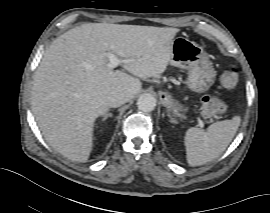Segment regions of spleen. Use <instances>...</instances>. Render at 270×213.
<instances>
[{"mask_svg":"<svg viewBox=\"0 0 270 213\" xmlns=\"http://www.w3.org/2000/svg\"><path fill=\"white\" fill-rule=\"evenodd\" d=\"M240 121L239 116H234L231 120L213 123L207 131L188 129L184 137L188 164L199 166L220 156L235 136Z\"/></svg>","mask_w":270,"mask_h":213,"instance_id":"1","label":"spleen"}]
</instances>
